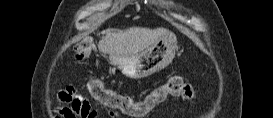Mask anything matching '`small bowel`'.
<instances>
[{
	"mask_svg": "<svg viewBox=\"0 0 273 118\" xmlns=\"http://www.w3.org/2000/svg\"><path fill=\"white\" fill-rule=\"evenodd\" d=\"M190 100L188 97L184 98ZM60 101L70 104V107L63 108L59 114L64 118H96L98 111L94 109L90 101L81 94H78L77 89L73 86L68 87L60 96ZM113 117L115 113L110 112Z\"/></svg>",
	"mask_w": 273,
	"mask_h": 118,
	"instance_id": "small-bowel-1",
	"label": "small bowel"
}]
</instances>
